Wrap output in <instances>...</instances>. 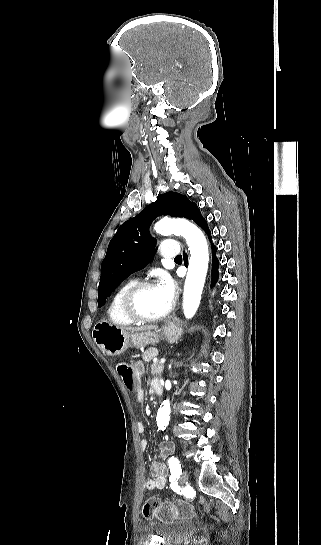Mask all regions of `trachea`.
Returning a JSON list of instances; mask_svg holds the SVG:
<instances>
[{
  "mask_svg": "<svg viewBox=\"0 0 321 545\" xmlns=\"http://www.w3.org/2000/svg\"><path fill=\"white\" fill-rule=\"evenodd\" d=\"M182 260V256L181 255H177V257H175V261H181Z\"/></svg>",
  "mask_w": 321,
  "mask_h": 545,
  "instance_id": "3493384b",
  "label": "trachea"
}]
</instances>
